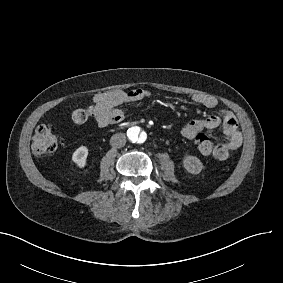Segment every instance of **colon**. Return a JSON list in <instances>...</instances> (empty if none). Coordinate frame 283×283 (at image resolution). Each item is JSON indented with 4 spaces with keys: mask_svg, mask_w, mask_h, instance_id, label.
<instances>
[{
    "mask_svg": "<svg viewBox=\"0 0 283 283\" xmlns=\"http://www.w3.org/2000/svg\"><path fill=\"white\" fill-rule=\"evenodd\" d=\"M94 116L93 109L90 107L77 108L72 112L71 120L75 124H84ZM194 142L198 150L204 154H212L214 142L210 134L205 131H195ZM57 147V140L54 128L51 124L39 125L34 133L32 140V150L37 155H46L53 152Z\"/></svg>",
    "mask_w": 283,
    "mask_h": 283,
    "instance_id": "1",
    "label": "colon"
}]
</instances>
